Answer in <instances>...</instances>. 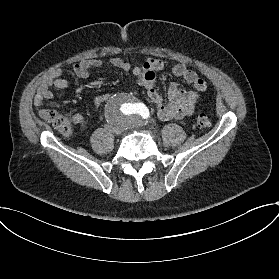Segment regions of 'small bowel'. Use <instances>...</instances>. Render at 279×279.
Wrapping results in <instances>:
<instances>
[{"label":"small bowel","instance_id":"small-bowel-1","mask_svg":"<svg viewBox=\"0 0 279 279\" xmlns=\"http://www.w3.org/2000/svg\"><path fill=\"white\" fill-rule=\"evenodd\" d=\"M104 66L117 68L123 71L127 77H136L139 84L146 90L150 101L155 107L156 116L161 121L179 119L191 115L197 101L207 88V82L195 70L189 68L184 62H180L172 67L171 72L191 84L192 88L184 91L180 90L175 83H172L168 87V98L164 100L155 88V75L165 68L164 61L159 58H149L140 66L135 67H132L129 62L119 57H111L106 61L87 58L75 64L73 72L77 78L86 79L91 70ZM61 74L62 70L56 69L41 82L34 99V104L37 108L55 106L52 88L66 90L70 87V81L62 78ZM106 99L107 95L95 97L93 101L94 108L99 110ZM71 120L80 127L85 124L83 115L79 113L73 114Z\"/></svg>","mask_w":279,"mask_h":279}]
</instances>
